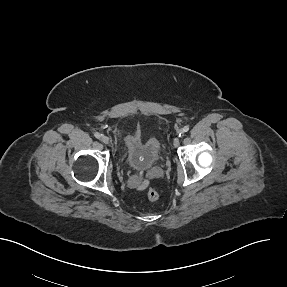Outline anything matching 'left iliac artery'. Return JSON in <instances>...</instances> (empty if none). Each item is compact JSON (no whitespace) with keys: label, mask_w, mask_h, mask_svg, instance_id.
<instances>
[{"label":"left iliac artery","mask_w":287,"mask_h":287,"mask_svg":"<svg viewBox=\"0 0 287 287\" xmlns=\"http://www.w3.org/2000/svg\"><path fill=\"white\" fill-rule=\"evenodd\" d=\"M188 130H189V126H184L183 133L187 132ZM183 133H180L179 136H181V134H183Z\"/></svg>","instance_id":"44dca946"}]
</instances>
